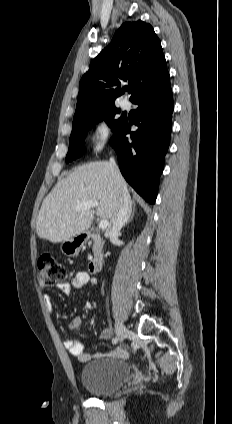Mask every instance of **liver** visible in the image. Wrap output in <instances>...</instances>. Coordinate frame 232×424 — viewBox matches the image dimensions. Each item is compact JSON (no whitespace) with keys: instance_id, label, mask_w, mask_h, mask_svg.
Masks as SVG:
<instances>
[{"instance_id":"liver-1","label":"liver","mask_w":232,"mask_h":424,"mask_svg":"<svg viewBox=\"0 0 232 424\" xmlns=\"http://www.w3.org/2000/svg\"><path fill=\"white\" fill-rule=\"evenodd\" d=\"M127 183L120 174L115 176L109 162H93L74 169L61 179L44 199L36 221L37 235L52 243L67 241L86 232L94 214L102 220H111ZM97 200L92 208L76 211L80 203Z\"/></svg>"}]
</instances>
